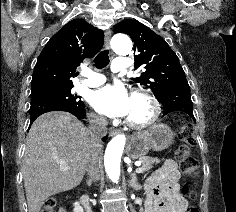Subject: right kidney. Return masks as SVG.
<instances>
[{"label":"right kidney","mask_w":236,"mask_h":212,"mask_svg":"<svg viewBox=\"0 0 236 212\" xmlns=\"http://www.w3.org/2000/svg\"><path fill=\"white\" fill-rule=\"evenodd\" d=\"M73 212H83V208L81 207L79 202L74 203V210Z\"/></svg>","instance_id":"ca27d5eb"}]
</instances>
